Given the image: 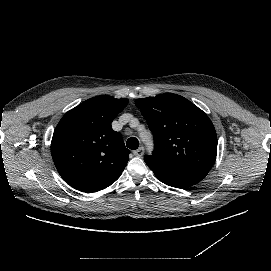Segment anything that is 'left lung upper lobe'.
Returning a JSON list of instances; mask_svg holds the SVG:
<instances>
[{
    "instance_id": "1",
    "label": "left lung upper lobe",
    "mask_w": 271,
    "mask_h": 271,
    "mask_svg": "<svg viewBox=\"0 0 271 271\" xmlns=\"http://www.w3.org/2000/svg\"><path fill=\"white\" fill-rule=\"evenodd\" d=\"M135 105L154 136L153 157L210 170L217 154V136L209 117L177 94L137 99Z\"/></svg>"
}]
</instances>
